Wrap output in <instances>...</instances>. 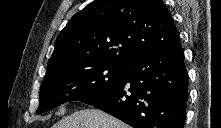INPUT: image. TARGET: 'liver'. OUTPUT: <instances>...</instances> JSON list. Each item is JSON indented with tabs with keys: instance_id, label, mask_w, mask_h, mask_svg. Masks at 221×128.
<instances>
[{
	"instance_id": "obj_1",
	"label": "liver",
	"mask_w": 221,
	"mask_h": 128,
	"mask_svg": "<svg viewBox=\"0 0 221 128\" xmlns=\"http://www.w3.org/2000/svg\"><path fill=\"white\" fill-rule=\"evenodd\" d=\"M53 128H129V126L99 109H84L61 119Z\"/></svg>"
}]
</instances>
